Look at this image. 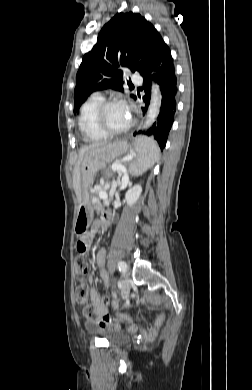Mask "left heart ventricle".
Listing matches in <instances>:
<instances>
[{
  "instance_id": "b2bd125f",
  "label": "left heart ventricle",
  "mask_w": 252,
  "mask_h": 390,
  "mask_svg": "<svg viewBox=\"0 0 252 390\" xmlns=\"http://www.w3.org/2000/svg\"><path fill=\"white\" fill-rule=\"evenodd\" d=\"M132 118L130 109L125 104H114L110 106L105 114V120L109 128L121 130L128 126Z\"/></svg>"
}]
</instances>
